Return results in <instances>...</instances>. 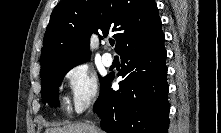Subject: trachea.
Instances as JSON below:
<instances>
[{
    "label": "trachea",
    "instance_id": "obj_1",
    "mask_svg": "<svg viewBox=\"0 0 221 133\" xmlns=\"http://www.w3.org/2000/svg\"><path fill=\"white\" fill-rule=\"evenodd\" d=\"M109 42L111 46H114V43H115L114 40H110Z\"/></svg>",
    "mask_w": 221,
    "mask_h": 133
}]
</instances>
